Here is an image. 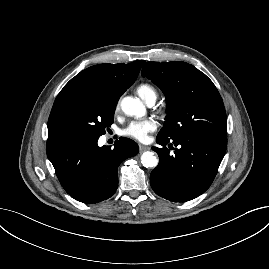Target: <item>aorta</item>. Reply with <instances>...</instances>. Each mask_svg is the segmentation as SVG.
Masks as SVG:
<instances>
[{"label":"aorta","mask_w":269,"mask_h":269,"mask_svg":"<svg viewBox=\"0 0 269 269\" xmlns=\"http://www.w3.org/2000/svg\"><path fill=\"white\" fill-rule=\"evenodd\" d=\"M122 111L129 116L142 117L146 113L144 104L133 97H125L121 101ZM158 157L154 152L146 151L141 155V163L147 168H154L158 165Z\"/></svg>","instance_id":"1"}]
</instances>
